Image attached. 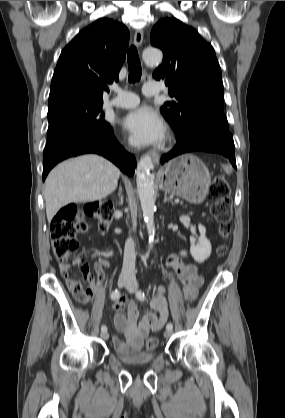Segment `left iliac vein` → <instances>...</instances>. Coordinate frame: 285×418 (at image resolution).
<instances>
[{
  "mask_svg": "<svg viewBox=\"0 0 285 418\" xmlns=\"http://www.w3.org/2000/svg\"><path fill=\"white\" fill-rule=\"evenodd\" d=\"M126 289L130 293H134L138 289V283L134 278H130V280L125 285ZM172 336V330H166L164 332V337L169 338Z\"/></svg>",
  "mask_w": 285,
  "mask_h": 418,
  "instance_id": "4c4485c4",
  "label": "left iliac vein"
}]
</instances>
